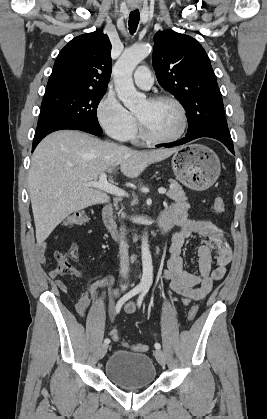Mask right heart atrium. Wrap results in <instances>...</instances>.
I'll return each mask as SVG.
<instances>
[{
	"instance_id": "d8ad5b80",
	"label": "right heart atrium",
	"mask_w": 267,
	"mask_h": 419,
	"mask_svg": "<svg viewBox=\"0 0 267 419\" xmlns=\"http://www.w3.org/2000/svg\"><path fill=\"white\" fill-rule=\"evenodd\" d=\"M97 120L101 128L116 140H128L136 130V120L122 103L110 93L98 103Z\"/></svg>"
}]
</instances>
